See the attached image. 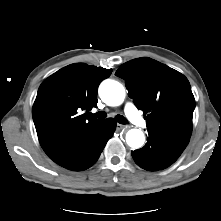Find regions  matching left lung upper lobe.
<instances>
[{
    "mask_svg": "<svg viewBox=\"0 0 221 221\" xmlns=\"http://www.w3.org/2000/svg\"><path fill=\"white\" fill-rule=\"evenodd\" d=\"M115 75L125 80L129 97L146 115L149 136L184 150L190 140L195 108L187 78L148 57L123 64Z\"/></svg>",
    "mask_w": 221,
    "mask_h": 221,
    "instance_id": "5c2ea615",
    "label": "left lung upper lobe"
}]
</instances>
